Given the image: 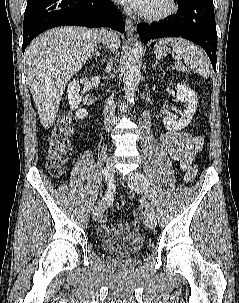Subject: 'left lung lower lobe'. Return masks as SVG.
I'll return each mask as SVG.
<instances>
[{"mask_svg":"<svg viewBox=\"0 0 239 303\" xmlns=\"http://www.w3.org/2000/svg\"><path fill=\"white\" fill-rule=\"evenodd\" d=\"M176 15L166 21L139 24L143 42L162 37H182L203 47L216 70L217 32L212 0H177Z\"/></svg>","mask_w":239,"mask_h":303,"instance_id":"0a47b994","label":"left lung lower lobe"}]
</instances>
